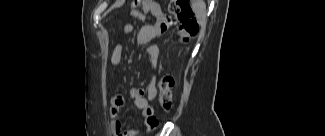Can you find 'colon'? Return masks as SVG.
I'll return each instance as SVG.
<instances>
[{
  "mask_svg": "<svg viewBox=\"0 0 325 136\" xmlns=\"http://www.w3.org/2000/svg\"><path fill=\"white\" fill-rule=\"evenodd\" d=\"M142 0H134V7L140 8ZM169 11L174 16L170 20L176 26L177 32L183 42H187L191 36L197 33L199 26L189 0H170ZM174 80L169 75L160 78L158 84V98L161 107L168 111L173 105L172 88Z\"/></svg>",
  "mask_w": 325,
  "mask_h": 136,
  "instance_id": "obj_1",
  "label": "colon"
}]
</instances>
